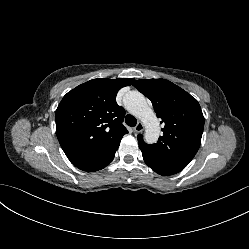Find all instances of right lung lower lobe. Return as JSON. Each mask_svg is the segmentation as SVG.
<instances>
[{
    "label": "right lung lower lobe",
    "instance_id": "98d812e1",
    "mask_svg": "<svg viewBox=\"0 0 249 249\" xmlns=\"http://www.w3.org/2000/svg\"><path fill=\"white\" fill-rule=\"evenodd\" d=\"M120 141L97 151L77 152L66 154L71 163L84 171H97L112 162Z\"/></svg>",
    "mask_w": 249,
    "mask_h": 249
}]
</instances>
